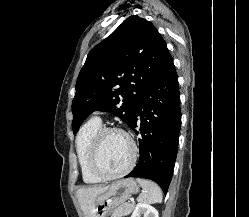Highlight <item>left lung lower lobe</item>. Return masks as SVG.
<instances>
[{"mask_svg":"<svg viewBox=\"0 0 249 217\" xmlns=\"http://www.w3.org/2000/svg\"><path fill=\"white\" fill-rule=\"evenodd\" d=\"M129 126L139 135L140 158L126 177L150 179L166 194L173 175L181 127L178 77L171 55L139 99Z\"/></svg>","mask_w":249,"mask_h":217,"instance_id":"left-lung-lower-lobe-1","label":"left lung lower lobe"}]
</instances>
